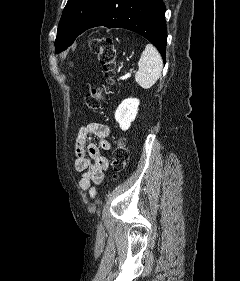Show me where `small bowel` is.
I'll return each instance as SVG.
<instances>
[{
	"label": "small bowel",
	"mask_w": 240,
	"mask_h": 281,
	"mask_svg": "<svg viewBox=\"0 0 240 281\" xmlns=\"http://www.w3.org/2000/svg\"><path fill=\"white\" fill-rule=\"evenodd\" d=\"M109 134V127L99 122L83 125L77 133L74 168L82 173L79 181L80 187L92 198L96 196V188L93 183L99 184L104 178V171L108 168V160L102 151L111 149ZM93 136L99 139L98 144L92 142Z\"/></svg>",
	"instance_id": "obj_1"
}]
</instances>
